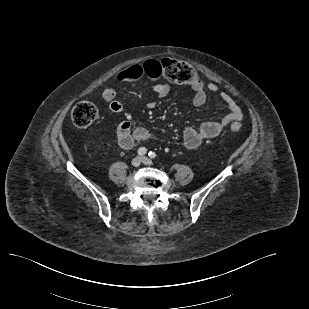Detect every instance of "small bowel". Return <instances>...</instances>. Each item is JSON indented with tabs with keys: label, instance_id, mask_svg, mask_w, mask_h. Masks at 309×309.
<instances>
[{
	"label": "small bowel",
	"instance_id": "1",
	"mask_svg": "<svg viewBox=\"0 0 309 309\" xmlns=\"http://www.w3.org/2000/svg\"><path fill=\"white\" fill-rule=\"evenodd\" d=\"M158 79L160 74L155 66L149 65V61L135 64L121 70L116 80L118 82H134L142 77ZM192 102L195 106H203L207 100V92L218 94L224 102L229 112L218 121H207L197 126L187 127L183 132V140L188 149H197L204 141L217 137L222 130L233 122H239L243 118V113L236 101L226 92L221 91L215 83L204 84L202 81L194 84ZM152 91L160 98H165L170 92V87L167 83H157L153 85ZM103 99L108 102L109 109L114 113L123 111V105L116 100V89L112 86H107L102 91ZM148 108H153L155 102H148ZM117 139L121 148L132 149L137 142L148 141L150 132L144 128L135 125V123L127 119L122 121L117 127Z\"/></svg>",
	"mask_w": 309,
	"mask_h": 309
}]
</instances>
